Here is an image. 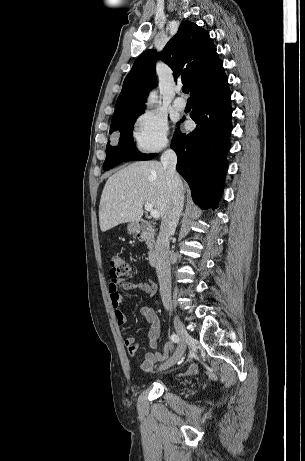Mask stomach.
<instances>
[{
	"mask_svg": "<svg viewBox=\"0 0 305 461\" xmlns=\"http://www.w3.org/2000/svg\"><path fill=\"white\" fill-rule=\"evenodd\" d=\"M127 230H128V232L130 234H134V233L137 232L138 226L136 224H134V223H131V224L128 225Z\"/></svg>",
	"mask_w": 305,
	"mask_h": 461,
	"instance_id": "stomach-1",
	"label": "stomach"
}]
</instances>
